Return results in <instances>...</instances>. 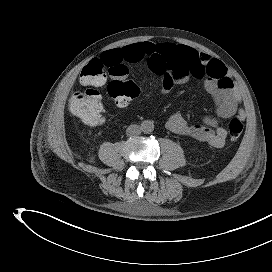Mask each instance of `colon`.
<instances>
[{"label": "colon", "mask_w": 272, "mask_h": 272, "mask_svg": "<svg viewBox=\"0 0 272 272\" xmlns=\"http://www.w3.org/2000/svg\"><path fill=\"white\" fill-rule=\"evenodd\" d=\"M106 69L112 77L107 91L117 106H127L140 93L139 87L133 81L126 79L128 72L125 69L108 68L99 59L91 60L80 74V83L87 88L74 93L69 101L70 113L90 126L101 125L105 121L103 104L96 88L102 85L106 77ZM227 128L230 140L235 141L243 131V122L238 117L233 118Z\"/></svg>", "instance_id": "1"}]
</instances>
